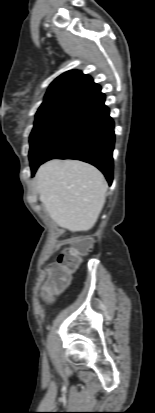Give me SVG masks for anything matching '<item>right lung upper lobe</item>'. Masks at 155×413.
<instances>
[{
    "label": "right lung upper lobe",
    "mask_w": 155,
    "mask_h": 413,
    "mask_svg": "<svg viewBox=\"0 0 155 413\" xmlns=\"http://www.w3.org/2000/svg\"><path fill=\"white\" fill-rule=\"evenodd\" d=\"M101 91L89 75L71 70L57 77L49 86L36 118L66 106H79Z\"/></svg>",
    "instance_id": "cb5924a9"
}]
</instances>
